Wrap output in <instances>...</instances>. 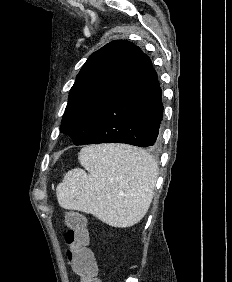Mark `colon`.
<instances>
[{
  "mask_svg": "<svg viewBox=\"0 0 232 282\" xmlns=\"http://www.w3.org/2000/svg\"><path fill=\"white\" fill-rule=\"evenodd\" d=\"M67 231L65 242L68 246L66 257L81 282H102L97 277V264L89 248L87 218L77 212L69 211L65 215Z\"/></svg>",
  "mask_w": 232,
  "mask_h": 282,
  "instance_id": "obj_1",
  "label": "colon"
}]
</instances>
